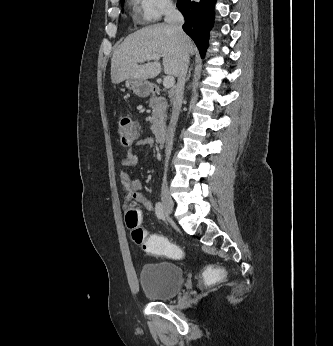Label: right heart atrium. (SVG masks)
Listing matches in <instances>:
<instances>
[{
  "label": "right heart atrium",
  "instance_id": "d8ad5b80",
  "mask_svg": "<svg viewBox=\"0 0 333 346\" xmlns=\"http://www.w3.org/2000/svg\"><path fill=\"white\" fill-rule=\"evenodd\" d=\"M139 16L144 22L159 20L173 9L172 0H134Z\"/></svg>",
  "mask_w": 333,
  "mask_h": 346
}]
</instances>
